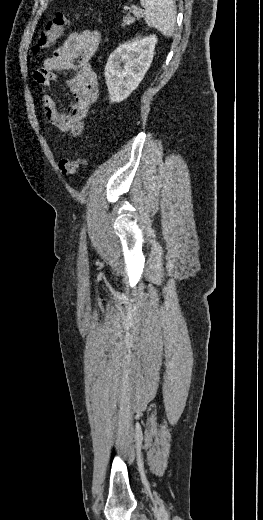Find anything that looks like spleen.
Segmentation results:
<instances>
[{"mask_svg":"<svg viewBox=\"0 0 263 520\" xmlns=\"http://www.w3.org/2000/svg\"><path fill=\"white\" fill-rule=\"evenodd\" d=\"M145 8V22L166 37L174 33L176 5L174 0H140Z\"/></svg>","mask_w":263,"mask_h":520,"instance_id":"spleen-1","label":"spleen"}]
</instances>
